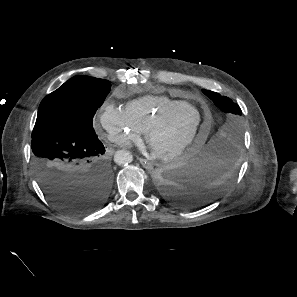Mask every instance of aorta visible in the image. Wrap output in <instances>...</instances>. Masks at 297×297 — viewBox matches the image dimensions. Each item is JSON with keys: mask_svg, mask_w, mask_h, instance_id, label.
I'll return each instance as SVG.
<instances>
[{"mask_svg": "<svg viewBox=\"0 0 297 297\" xmlns=\"http://www.w3.org/2000/svg\"><path fill=\"white\" fill-rule=\"evenodd\" d=\"M114 161L118 165H126L133 161L132 154L127 150H119L114 155Z\"/></svg>", "mask_w": 297, "mask_h": 297, "instance_id": "1", "label": "aorta"}]
</instances>
